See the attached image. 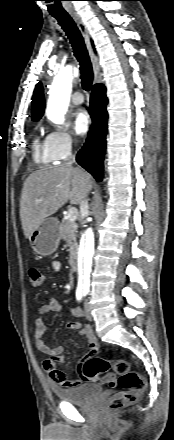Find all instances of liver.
<instances>
[{
  "mask_svg": "<svg viewBox=\"0 0 174 440\" xmlns=\"http://www.w3.org/2000/svg\"><path fill=\"white\" fill-rule=\"evenodd\" d=\"M91 188V176L81 168L62 165L31 173L24 182L20 200L25 237L29 239L41 222L68 200L71 204H80Z\"/></svg>",
  "mask_w": 174,
  "mask_h": 440,
  "instance_id": "obj_1",
  "label": "liver"
}]
</instances>
